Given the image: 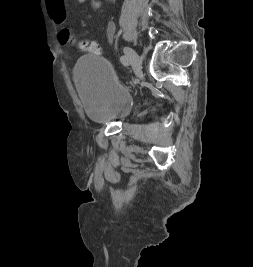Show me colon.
<instances>
[{
	"label": "colon",
	"mask_w": 253,
	"mask_h": 267,
	"mask_svg": "<svg viewBox=\"0 0 253 267\" xmlns=\"http://www.w3.org/2000/svg\"><path fill=\"white\" fill-rule=\"evenodd\" d=\"M58 40L62 45L71 47L81 52L101 54L100 45L94 40L82 39L70 28H62L58 33Z\"/></svg>",
	"instance_id": "1"
}]
</instances>
